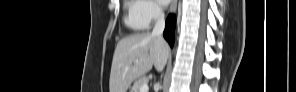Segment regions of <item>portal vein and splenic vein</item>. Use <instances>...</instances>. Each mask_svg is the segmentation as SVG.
<instances>
[{"mask_svg":"<svg viewBox=\"0 0 296 92\" xmlns=\"http://www.w3.org/2000/svg\"><path fill=\"white\" fill-rule=\"evenodd\" d=\"M148 90H149V87L147 83L143 84L140 88V92H148Z\"/></svg>","mask_w":296,"mask_h":92,"instance_id":"obj_1","label":"portal vein and splenic vein"}]
</instances>
